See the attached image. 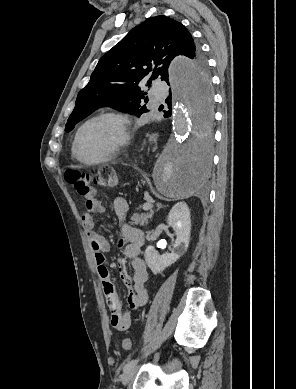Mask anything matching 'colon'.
Returning <instances> with one entry per match:
<instances>
[{
  "instance_id": "1",
  "label": "colon",
  "mask_w": 296,
  "mask_h": 389,
  "mask_svg": "<svg viewBox=\"0 0 296 389\" xmlns=\"http://www.w3.org/2000/svg\"><path fill=\"white\" fill-rule=\"evenodd\" d=\"M65 178L72 188L83 197H87L91 194L93 185L115 187L118 184V175L116 171L109 166L100 167L92 173L68 171L65 174ZM121 345L126 351H129L132 348V342L129 338H124Z\"/></svg>"
}]
</instances>
